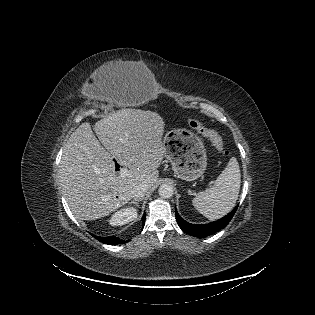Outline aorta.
<instances>
[{"instance_id": "aorta-1", "label": "aorta", "mask_w": 315, "mask_h": 315, "mask_svg": "<svg viewBox=\"0 0 315 315\" xmlns=\"http://www.w3.org/2000/svg\"><path fill=\"white\" fill-rule=\"evenodd\" d=\"M158 193L160 197L167 199L173 196L174 190L171 185L162 184L158 189Z\"/></svg>"}]
</instances>
